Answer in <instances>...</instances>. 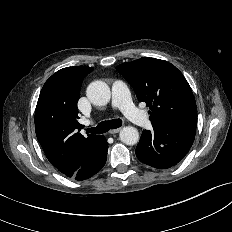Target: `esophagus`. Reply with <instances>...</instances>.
Returning a JSON list of instances; mask_svg holds the SVG:
<instances>
[{
	"mask_svg": "<svg viewBox=\"0 0 232 232\" xmlns=\"http://www.w3.org/2000/svg\"><path fill=\"white\" fill-rule=\"evenodd\" d=\"M121 131V128H116V129H111L110 131H109V133L110 134H117V133H119Z\"/></svg>",
	"mask_w": 232,
	"mask_h": 232,
	"instance_id": "obj_1",
	"label": "esophagus"
}]
</instances>
